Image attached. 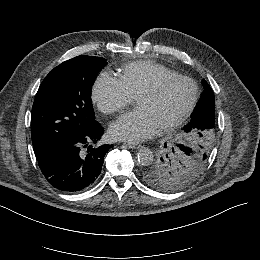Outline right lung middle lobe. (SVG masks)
<instances>
[{
	"label": "right lung middle lobe",
	"mask_w": 260,
	"mask_h": 260,
	"mask_svg": "<svg viewBox=\"0 0 260 260\" xmlns=\"http://www.w3.org/2000/svg\"><path fill=\"white\" fill-rule=\"evenodd\" d=\"M106 59L77 56L55 67L43 80L31 112L36 157L85 138L97 122L91 89Z\"/></svg>",
	"instance_id": "right-lung-middle-lobe-1"
}]
</instances>
